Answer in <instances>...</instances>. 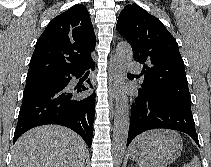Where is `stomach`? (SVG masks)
<instances>
[{"mask_svg": "<svg viewBox=\"0 0 211 167\" xmlns=\"http://www.w3.org/2000/svg\"><path fill=\"white\" fill-rule=\"evenodd\" d=\"M182 148L183 141L177 132L157 129L137 137L129 148V156L144 167H166L181 155Z\"/></svg>", "mask_w": 211, "mask_h": 167, "instance_id": "1", "label": "stomach"}]
</instances>
